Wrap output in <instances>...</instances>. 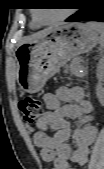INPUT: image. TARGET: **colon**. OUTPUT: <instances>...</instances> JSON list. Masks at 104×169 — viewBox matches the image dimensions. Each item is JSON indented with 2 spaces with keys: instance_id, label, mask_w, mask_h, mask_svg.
<instances>
[{
  "instance_id": "5ec220e1",
  "label": "colon",
  "mask_w": 104,
  "mask_h": 169,
  "mask_svg": "<svg viewBox=\"0 0 104 169\" xmlns=\"http://www.w3.org/2000/svg\"><path fill=\"white\" fill-rule=\"evenodd\" d=\"M19 109L27 124L35 123L43 113L41 100L34 97H24L19 101Z\"/></svg>"
}]
</instances>
